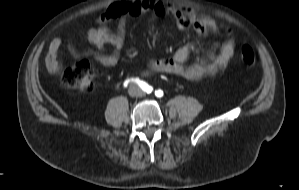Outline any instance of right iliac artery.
<instances>
[{
  "instance_id": "right-iliac-artery-1",
  "label": "right iliac artery",
  "mask_w": 299,
  "mask_h": 190,
  "mask_svg": "<svg viewBox=\"0 0 299 190\" xmlns=\"http://www.w3.org/2000/svg\"><path fill=\"white\" fill-rule=\"evenodd\" d=\"M132 81L137 82L139 84V86L142 88V90L146 91L147 93H150L153 90V88L150 85H148L144 81L139 80V78L132 79ZM128 82H129V80H126L124 82V86H127Z\"/></svg>"
}]
</instances>
